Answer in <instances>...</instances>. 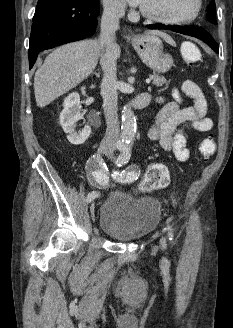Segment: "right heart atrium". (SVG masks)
Masks as SVG:
<instances>
[{
	"label": "right heart atrium",
	"mask_w": 233,
	"mask_h": 328,
	"mask_svg": "<svg viewBox=\"0 0 233 328\" xmlns=\"http://www.w3.org/2000/svg\"><path fill=\"white\" fill-rule=\"evenodd\" d=\"M104 11L109 16H118L123 10V3L120 0H102Z\"/></svg>",
	"instance_id": "d8ad5b80"
}]
</instances>
